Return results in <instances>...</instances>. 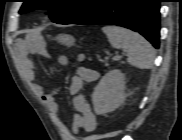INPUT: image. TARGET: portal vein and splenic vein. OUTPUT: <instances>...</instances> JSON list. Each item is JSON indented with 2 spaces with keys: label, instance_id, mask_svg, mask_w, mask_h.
Wrapping results in <instances>:
<instances>
[{
  "label": "portal vein and splenic vein",
  "instance_id": "obj_1",
  "mask_svg": "<svg viewBox=\"0 0 182 140\" xmlns=\"http://www.w3.org/2000/svg\"><path fill=\"white\" fill-rule=\"evenodd\" d=\"M120 59V56L116 55L113 57V60H119Z\"/></svg>",
  "mask_w": 182,
  "mask_h": 140
}]
</instances>
